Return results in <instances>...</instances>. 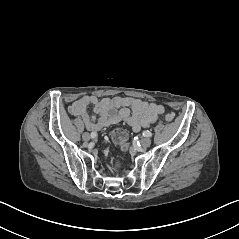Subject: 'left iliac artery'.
<instances>
[{
    "mask_svg": "<svg viewBox=\"0 0 239 239\" xmlns=\"http://www.w3.org/2000/svg\"><path fill=\"white\" fill-rule=\"evenodd\" d=\"M143 136H145V137H151V136H152V133H151L150 131L146 130V131L143 132Z\"/></svg>",
    "mask_w": 239,
    "mask_h": 239,
    "instance_id": "left-iliac-artery-1",
    "label": "left iliac artery"
}]
</instances>
